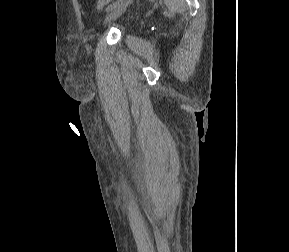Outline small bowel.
Returning <instances> with one entry per match:
<instances>
[{"instance_id":"obj_1","label":"small bowel","mask_w":289,"mask_h":252,"mask_svg":"<svg viewBox=\"0 0 289 252\" xmlns=\"http://www.w3.org/2000/svg\"><path fill=\"white\" fill-rule=\"evenodd\" d=\"M112 0H95V8L100 10L110 4Z\"/></svg>"}]
</instances>
